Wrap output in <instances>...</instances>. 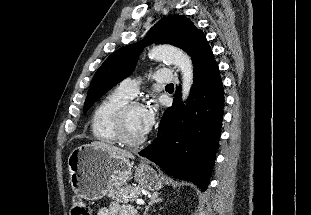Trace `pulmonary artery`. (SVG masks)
I'll return each instance as SVG.
<instances>
[{"label": "pulmonary artery", "mask_w": 311, "mask_h": 215, "mask_svg": "<svg viewBox=\"0 0 311 215\" xmlns=\"http://www.w3.org/2000/svg\"><path fill=\"white\" fill-rule=\"evenodd\" d=\"M153 79L158 83H170L172 73L169 69H158L153 73ZM120 92L129 98H134L139 90V81L136 79H124L117 88Z\"/></svg>", "instance_id": "obj_1"}]
</instances>
